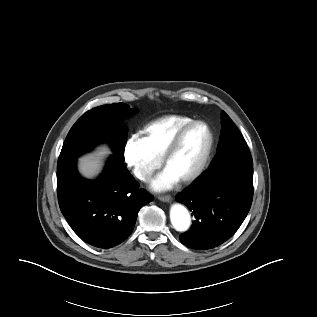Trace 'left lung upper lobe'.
Returning <instances> with one entry per match:
<instances>
[{"label":"left lung upper lobe","instance_id":"5c2ea615","mask_svg":"<svg viewBox=\"0 0 317 317\" xmlns=\"http://www.w3.org/2000/svg\"><path fill=\"white\" fill-rule=\"evenodd\" d=\"M231 163H242L253 166L252 157L246 141L230 117L223 111L222 129L217 154L209 170L216 173Z\"/></svg>","mask_w":317,"mask_h":317}]
</instances>
